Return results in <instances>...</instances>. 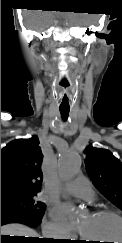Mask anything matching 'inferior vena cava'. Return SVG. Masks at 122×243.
Here are the masks:
<instances>
[{
    "label": "inferior vena cava",
    "mask_w": 122,
    "mask_h": 243,
    "mask_svg": "<svg viewBox=\"0 0 122 243\" xmlns=\"http://www.w3.org/2000/svg\"><path fill=\"white\" fill-rule=\"evenodd\" d=\"M42 238H48L53 235V233L48 228H43L42 230Z\"/></svg>",
    "instance_id": "602c4592"
}]
</instances>
